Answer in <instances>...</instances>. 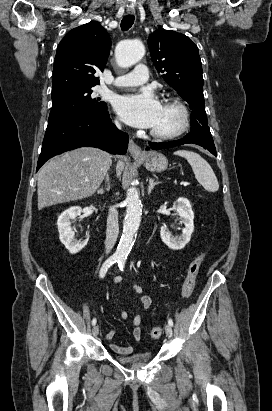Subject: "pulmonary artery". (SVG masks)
Returning <instances> with one entry per match:
<instances>
[{"label":"pulmonary artery","instance_id":"e3ab8cb5","mask_svg":"<svg viewBox=\"0 0 272 411\" xmlns=\"http://www.w3.org/2000/svg\"><path fill=\"white\" fill-rule=\"evenodd\" d=\"M148 69L143 64H138L134 71L115 79V85L118 87L140 86L148 81Z\"/></svg>","mask_w":272,"mask_h":411}]
</instances>
